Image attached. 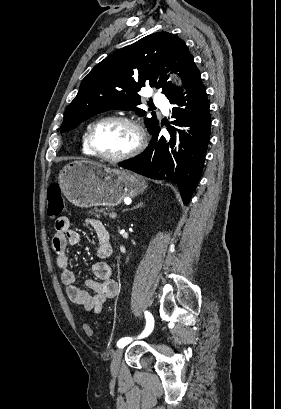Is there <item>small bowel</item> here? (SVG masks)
<instances>
[{"label":"small bowel","instance_id":"obj_1","mask_svg":"<svg viewBox=\"0 0 281 409\" xmlns=\"http://www.w3.org/2000/svg\"><path fill=\"white\" fill-rule=\"evenodd\" d=\"M85 222L94 229L96 234L94 256L97 261L92 265L95 279L85 281L90 292L75 284L76 274L69 268L68 247L78 244L80 235L71 229L70 220L67 217L56 220L52 246L56 253L57 266L61 269V281L66 287L69 300L87 311L99 312L107 300L117 296L119 290L118 282L113 278L112 267L108 263V259L113 254V246L110 234L101 221L87 218Z\"/></svg>","mask_w":281,"mask_h":409}]
</instances>
